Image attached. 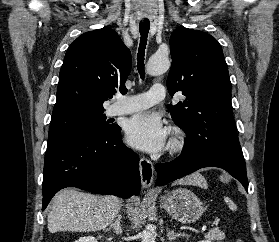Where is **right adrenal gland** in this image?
<instances>
[{"mask_svg": "<svg viewBox=\"0 0 279 242\" xmlns=\"http://www.w3.org/2000/svg\"><path fill=\"white\" fill-rule=\"evenodd\" d=\"M121 215L118 214L114 223H112L108 228H106L104 231H109L110 229L113 228L114 230V233H116L117 235L118 234H121L122 233V225H121Z\"/></svg>", "mask_w": 279, "mask_h": 242, "instance_id": "2a0ac1e0", "label": "right adrenal gland"}]
</instances>
